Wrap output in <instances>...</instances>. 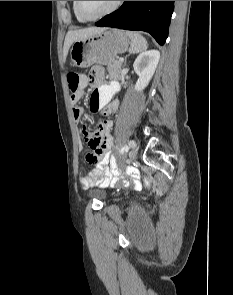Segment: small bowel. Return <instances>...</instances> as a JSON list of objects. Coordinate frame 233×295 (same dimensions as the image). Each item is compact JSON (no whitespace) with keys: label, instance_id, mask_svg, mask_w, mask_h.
Returning a JSON list of instances; mask_svg holds the SVG:
<instances>
[{"label":"small bowel","instance_id":"c3829d8e","mask_svg":"<svg viewBox=\"0 0 233 295\" xmlns=\"http://www.w3.org/2000/svg\"><path fill=\"white\" fill-rule=\"evenodd\" d=\"M87 79L96 86L90 97V108L93 111H101L102 120L99 124V136L101 139L102 153L96 168L89 174L80 176L79 183L83 189L97 185L106 186L110 183H114L122 176L117 161L111 152L113 138L110 131L113 123L109 119V117L117 111L119 106L117 100H112L113 95L119 90V85L115 82L110 85H103V72L97 67L90 71ZM82 96L83 92L71 96V102L74 105L77 104ZM83 115L84 109L75 105L73 107L74 119L80 121Z\"/></svg>","mask_w":233,"mask_h":295}]
</instances>
